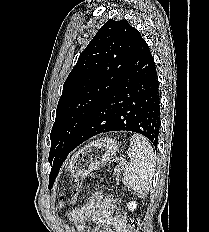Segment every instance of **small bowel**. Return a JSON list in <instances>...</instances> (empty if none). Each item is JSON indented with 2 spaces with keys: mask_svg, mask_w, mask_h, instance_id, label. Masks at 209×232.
<instances>
[{
  "mask_svg": "<svg viewBox=\"0 0 209 232\" xmlns=\"http://www.w3.org/2000/svg\"><path fill=\"white\" fill-rule=\"evenodd\" d=\"M113 209L111 199H103L101 193H95L89 196L82 207L71 211L69 218L80 232L85 230V223L89 220L97 226L88 232H129L124 222L113 216Z\"/></svg>",
  "mask_w": 209,
  "mask_h": 232,
  "instance_id": "c3829d8e",
  "label": "small bowel"
}]
</instances>
